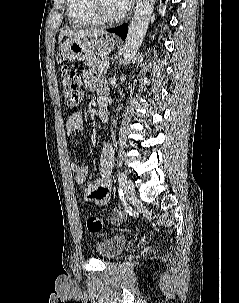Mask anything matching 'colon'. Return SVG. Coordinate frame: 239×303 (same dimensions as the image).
Here are the masks:
<instances>
[{
    "mask_svg": "<svg viewBox=\"0 0 239 303\" xmlns=\"http://www.w3.org/2000/svg\"><path fill=\"white\" fill-rule=\"evenodd\" d=\"M60 82L64 99L69 107L77 106L84 97L85 88L78 73L69 66H63L60 71ZM87 229L92 233L102 230L101 220L93 215L86 218Z\"/></svg>",
    "mask_w": 239,
    "mask_h": 303,
    "instance_id": "1",
    "label": "colon"
}]
</instances>
